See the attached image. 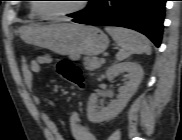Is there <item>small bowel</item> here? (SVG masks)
Masks as SVG:
<instances>
[{
    "mask_svg": "<svg viewBox=\"0 0 182 140\" xmlns=\"http://www.w3.org/2000/svg\"><path fill=\"white\" fill-rule=\"evenodd\" d=\"M53 61L49 55H40L37 58L21 63V77L25 87L29 90L33 88V75L41 70L43 65L51 64ZM33 102L39 105L41 100L38 96H33ZM42 121L50 135L51 140H65L58 130L53 118L47 114L42 113ZM70 132L75 140H97V137L92 129L86 127L78 113H73L69 119Z\"/></svg>",
    "mask_w": 182,
    "mask_h": 140,
    "instance_id": "small-bowel-1",
    "label": "small bowel"
}]
</instances>
